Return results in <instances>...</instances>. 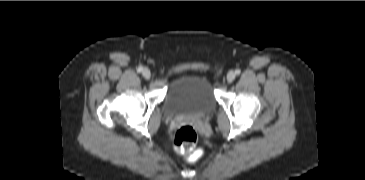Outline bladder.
Instances as JSON below:
<instances>
[{"label":"bladder","mask_w":365,"mask_h":180,"mask_svg":"<svg viewBox=\"0 0 365 180\" xmlns=\"http://www.w3.org/2000/svg\"><path fill=\"white\" fill-rule=\"evenodd\" d=\"M217 104L209 79L200 73H185L169 86L164 101V114L170 117L201 115Z\"/></svg>","instance_id":"1"}]
</instances>
